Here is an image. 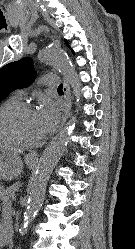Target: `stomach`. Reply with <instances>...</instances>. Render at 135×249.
I'll return each mask as SVG.
<instances>
[{"instance_id":"stomach-1","label":"stomach","mask_w":135,"mask_h":249,"mask_svg":"<svg viewBox=\"0 0 135 249\" xmlns=\"http://www.w3.org/2000/svg\"><path fill=\"white\" fill-rule=\"evenodd\" d=\"M25 163L28 167H32L35 162L31 158H26ZM22 168L23 162L18 154L0 149V179H14L21 173Z\"/></svg>"}]
</instances>
